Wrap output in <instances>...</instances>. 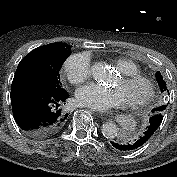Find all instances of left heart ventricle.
I'll use <instances>...</instances> for the list:
<instances>
[{"instance_id":"1","label":"left heart ventricle","mask_w":177,"mask_h":177,"mask_svg":"<svg viewBox=\"0 0 177 177\" xmlns=\"http://www.w3.org/2000/svg\"><path fill=\"white\" fill-rule=\"evenodd\" d=\"M113 87L120 90L125 102L141 99L146 93V87L140 82H123L118 77L112 84Z\"/></svg>"}]
</instances>
